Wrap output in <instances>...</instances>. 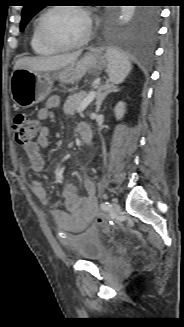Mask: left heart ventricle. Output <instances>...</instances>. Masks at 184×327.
Returning <instances> with one entry per match:
<instances>
[{
  "mask_svg": "<svg viewBox=\"0 0 184 327\" xmlns=\"http://www.w3.org/2000/svg\"><path fill=\"white\" fill-rule=\"evenodd\" d=\"M46 27L55 40L61 43H73L85 35L87 22L78 11L59 9L48 16Z\"/></svg>",
  "mask_w": 184,
  "mask_h": 327,
  "instance_id": "obj_1",
  "label": "left heart ventricle"
}]
</instances>
